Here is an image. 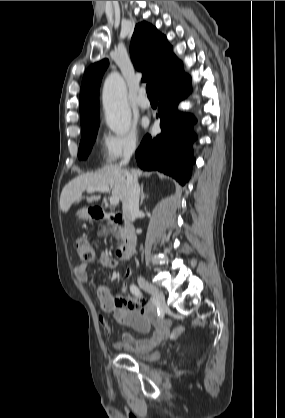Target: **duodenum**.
<instances>
[{"label": "duodenum", "instance_id": "410a0bca", "mask_svg": "<svg viewBox=\"0 0 285 418\" xmlns=\"http://www.w3.org/2000/svg\"><path fill=\"white\" fill-rule=\"evenodd\" d=\"M94 220H104L114 224L122 234L123 244L118 248L117 255L120 259H129L135 249L137 235L133 226L128 223L119 212L99 210L93 216Z\"/></svg>", "mask_w": 285, "mask_h": 418}]
</instances>
